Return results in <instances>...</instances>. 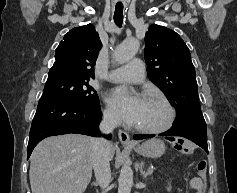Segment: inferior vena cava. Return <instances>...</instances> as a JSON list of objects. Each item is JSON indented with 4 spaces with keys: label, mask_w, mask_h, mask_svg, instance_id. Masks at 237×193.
Instances as JSON below:
<instances>
[{
    "label": "inferior vena cava",
    "mask_w": 237,
    "mask_h": 193,
    "mask_svg": "<svg viewBox=\"0 0 237 193\" xmlns=\"http://www.w3.org/2000/svg\"><path fill=\"white\" fill-rule=\"evenodd\" d=\"M119 124V118L115 113L104 112L99 124V129L103 134H109ZM110 148L111 144L105 138H95L93 142V169L97 183L104 190L111 181L110 170Z\"/></svg>",
    "instance_id": "602c4592"
}]
</instances>
